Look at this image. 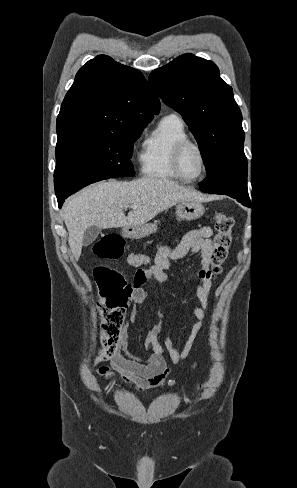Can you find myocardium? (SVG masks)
<instances>
[{
    "label": "myocardium",
    "instance_id": "f54148a6",
    "mask_svg": "<svg viewBox=\"0 0 297 488\" xmlns=\"http://www.w3.org/2000/svg\"><path fill=\"white\" fill-rule=\"evenodd\" d=\"M189 146L196 148L200 154V157H201L202 168H201V171L199 172V174L196 175L195 177H187L186 175H184V173L182 172L181 167H180L181 156H182L184 150ZM171 166H172L174 173L181 180H184L186 182L197 181L200 178H202L203 175L207 171L206 153H205L204 149L201 147V145L198 144L196 141L191 140L189 138L181 140L175 145V147L173 149L172 156H171Z\"/></svg>",
    "mask_w": 297,
    "mask_h": 488
}]
</instances>
